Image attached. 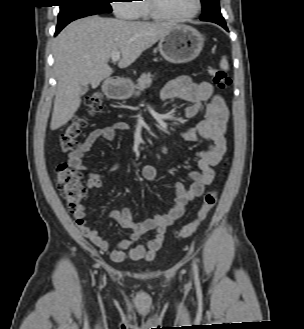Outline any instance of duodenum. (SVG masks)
<instances>
[{
    "mask_svg": "<svg viewBox=\"0 0 304 329\" xmlns=\"http://www.w3.org/2000/svg\"><path fill=\"white\" fill-rule=\"evenodd\" d=\"M114 83L112 81H108L104 85V91L107 94H110L113 91Z\"/></svg>",
    "mask_w": 304,
    "mask_h": 329,
    "instance_id": "1",
    "label": "duodenum"
}]
</instances>
